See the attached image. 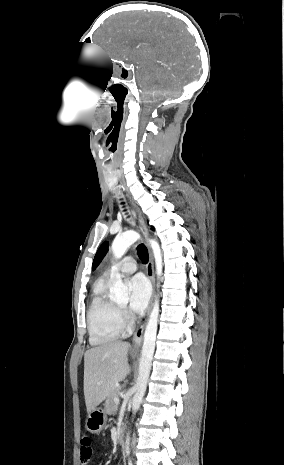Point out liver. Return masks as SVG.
Returning a JSON list of instances; mask_svg holds the SVG:
<instances>
[{
	"label": "liver",
	"instance_id": "1",
	"mask_svg": "<svg viewBox=\"0 0 284 465\" xmlns=\"http://www.w3.org/2000/svg\"><path fill=\"white\" fill-rule=\"evenodd\" d=\"M129 343L112 341L89 349L84 355V397L87 413L105 401L116 383L130 373L127 359Z\"/></svg>",
	"mask_w": 284,
	"mask_h": 465
}]
</instances>
